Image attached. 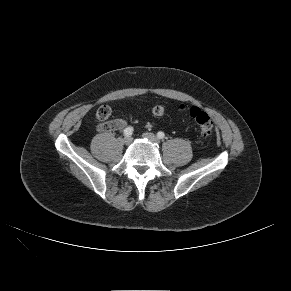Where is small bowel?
Listing matches in <instances>:
<instances>
[{
  "label": "small bowel",
  "mask_w": 291,
  "mask_h": 291,
  "mask_svg": "<svg viewBox=\"0 0 291 291\" xmlns=\"http://www.w3.org/2000/svg\"><path fill=\"white\" fill-rule=\"evenodd\" d=\"M109 123H110V127H111L109 131L121 130L127 125V122L121 118L113 119Z\"/></svg>",
  "instance_id": "obj_1"
}]
</instances>
